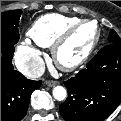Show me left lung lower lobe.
I'll use <instances>...</instances> for the list:
<instances>
[{"instance_id":"obj_1","label":"left lung lower lobe","mask_w":121,"mask_h":121,"mask_svg":"<svg viewBox=\"0 0 121 121\" xmlns=\"http://www.w3.org/2000/svg\"><path fill=\"white\" fill-rule=\"evenodd\" d=\"M66 121H103L121 103V44L102 48L75 77L64 82Z\"/></svg>"}]
</instances>
